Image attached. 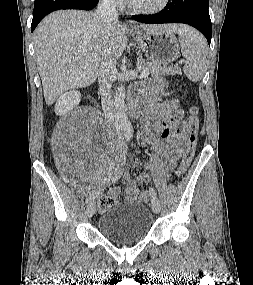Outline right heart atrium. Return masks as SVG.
I'll return each mask as SVG.
<instances>
[{
	"label": "right heart atrium",
	"mask_w": 253,
	"mask_h": 285,
	"mask_svg": "<svg viewBox=\"0 0 253 285\" xmlns=\"http://www.w3.org/2000/svg\"><path fill=\"white\" fill-rule=\"evenodd\" d=\"M108 6L113 8H121L124 5V0H103Z\"/></svg>",
	"instance_id": "right-heart-atrium-1"
}]
</instances>
